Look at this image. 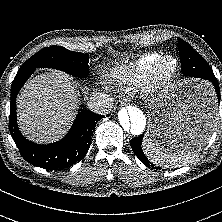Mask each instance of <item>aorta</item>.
<instances>
[{
	"mask_svg": "<svg viewBox=\"0 0 222 222\" xmlns=\"http://www.w3.org/2000/svg\"><path fill=\"white\" fill-rule=\"evenodd\" d=\"M118 120L122 130L127 134L140 135L146 126L143 111L134 105H129L118 112Z\"/></svg>",
	"mask_w": 222,
	"mask_h": 222,
	"instance_id": "obj_1",
	"label": "aorta"
}]
</instances>
